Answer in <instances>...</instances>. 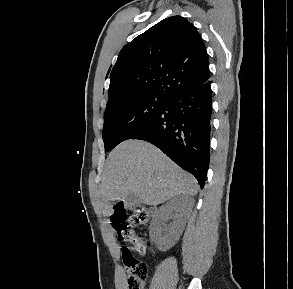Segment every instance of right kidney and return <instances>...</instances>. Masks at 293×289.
<instances>
[{
  "mask_svg": "<svg viewBox=\"0 0 293 289\" xmlns=\"http://www.w3.org/2000/svg\"><path fill=\"white\" fill-rule=\"evenodd\" d=\"M184 202L181 197H175L165 205L161 206L157 213L156 226L159 227V232H163L162 241L166 247H170L175 244L182 234L185 224L186 216L183 209ZM173 222L166 228H162V221L168 216H172Z\"/></svg>",
  "mask_w": 293,
  "mask_h": 289,
  "instance_id": "ca27d5eb",
  "label": "right kidney"
}]
</instances>
